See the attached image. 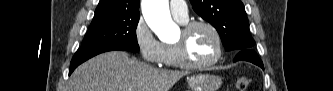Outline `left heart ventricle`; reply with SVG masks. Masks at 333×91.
<instances>
[{"label":"left heart ventricle","mask_w":333,"mask_h":91,"mask_svg":"<svg viewBox=\"0 0 333 91\" xmlns=\"http://www.w3.org/2000/svg\"><path fill=\"white\" fill-rule=\"evenodd\" d=\"M183 38L182 31L176 42ZM187 52L190 60L201 63L212 59L216 54V41L205 27L195 28L187 37Z\"/></svg>","instance_id":"1"}]
</instances>
